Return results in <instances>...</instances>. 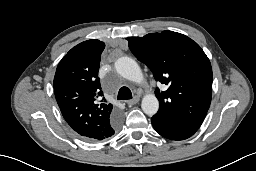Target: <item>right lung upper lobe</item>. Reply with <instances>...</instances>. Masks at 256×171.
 <instances>
[{"instance_id":"right-lung-upper-lobe-1","label":"right lung upper lobe","mask_w":256,"mask_h":171,"mask_svg":"<svg viewBox=\"0 0 256 171\" xmlns=\"http://www.w3.org/2000/svg\"><path fill=\"white\" fill-rule=\"evenodd\" d=\"M104 48L96 39L76 45L62 58L54 76V93L64 119L89 141L111 137L110 123L118 114L103 97L98 77Z\"/></svg>"}]
</instances>
